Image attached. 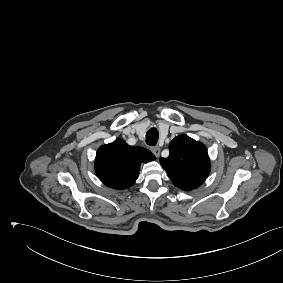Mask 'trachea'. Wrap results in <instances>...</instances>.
Wrapping results in <instances>:
<instances>
[{
	"mask_svg": "<svg viewBox=\"0 0 283 283\" xmlns=\"http://www.w3.org/2000/svg\"><path fill=\"white\" fill-rule=\"evenodd\" d=\"M159 138L158 130L151 128L146 133V143L150 146H155Z\"/></svg>",
	"mask_w": 283,
	"mask_h": 283,
	"instance_id": "1",
	"label": "trachea"
}]
</instances>
